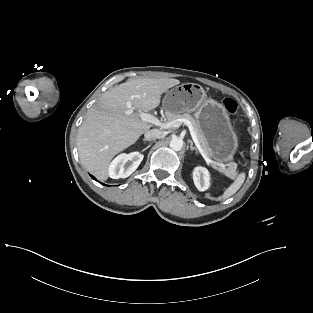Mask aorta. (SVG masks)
I'll list each match as a JSON object with an SVG mask.
<instances>
[{"instance_id": "762f6f07", "label": "aorta", "mask_w": 313, "mask_h": 313, "mask_svg": "<svg viewBox=\"0 0 313 313\" xmlns=\"http://www.w3.org/2000/svg\"><path fill=\"white\" fill-rule=\"evenodd\" d=\"M170 148L174 151H180L182 149L183 146V140L179 137H174L172 138V140L170 141Z\"/></svg>"}]
</instances>
